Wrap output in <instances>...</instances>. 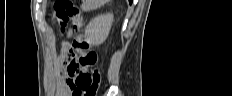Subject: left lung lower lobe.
<instances>
[{
	"label": "left lung lower lobe",
	"instance_id": "0a47b994",
	"mask_svg": "<svg viewBox=\"0 0 232 96\" xmlns=\"http://www.w3.org/2000/svg\"><path fill=\"white\" fill-rule=\"evenodd\" d=\"M133 0H129L130 4L132 3Z\"/></svg>",
	"mask_w": 232,
	"mask_h": 96
}]
</instances>
